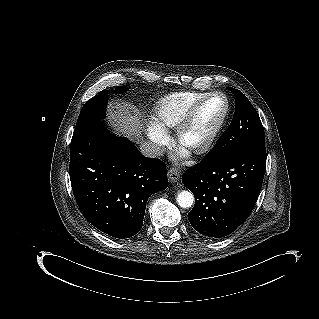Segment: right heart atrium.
I'll return each instance as SVG.
<instances>
[{"instance_id": "right-heart-atrium-1", "label": "right heart atrium", "mask_w": 319, "mask_h": 319, "mask_svg": "<svg viewBox=\"0 0 319 319\" xmlns=\"http://www.w3.org/2000/svg\"><path fill=\"white\" fill-rule=\"evenodd\" d=\"M146 132L152 148L157 152V149L160 148L166 140V134L155 122L148 124Z\"/></svg>"}]
</instances>
